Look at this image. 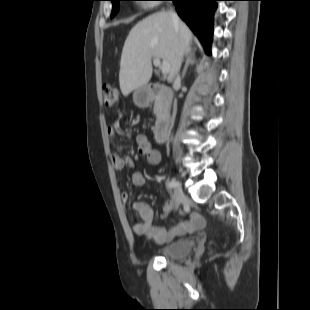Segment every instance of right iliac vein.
<instances>
[{
  "mask_svg": "<svg viewBox=\"0 0 310 310\" xmlns=\"http://www.w3.org/2000/svg\"><path fill=\"white\" fill-rule=\"evenodd\" d=\"M175 204L178 207L182 202L185 201V195L182 191L181 183L177 180V186L174 189Z\"/></svg>",
  "mask_w": 310,
  "mask_h": 310,
  "instance_id": "63e3f726",
  "label": "right iliac vein"
}]
</instances>
